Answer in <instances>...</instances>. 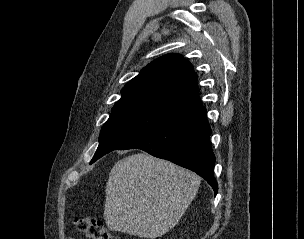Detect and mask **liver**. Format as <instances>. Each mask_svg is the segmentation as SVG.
Masks as SVG:
<instances>
[{
	"label": "liver",
	"instance_id": "obj_1",
	"mask_svg": "<svg viewBox=\"0 0 304 239\" xmlns=\"http://www.w3.org/2000/svg\"><path fill=\"white\" fill-rule=\"evenodd\" d=\"M200 177L172 162L138 153L112 167L104 219L111 231L154 239L172 229L196 196Z\"/></svg>",
	"mask_w": 304,
	"mask_h": 239
}]
</instances>
